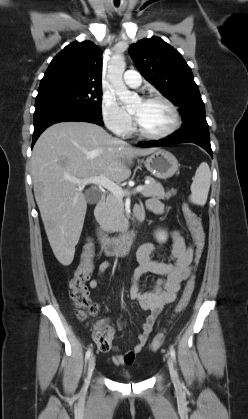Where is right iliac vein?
Instances as JSON below:
<instances>
[{
	"mask_svg": "<svg viewBox=\"0 0 248 419\" xmlns=\"http://www.w3.org/2000/svg\"><path fill=\"white\" fill-rule=\"evenodd\" d=\"M94 369H95V357L91 356L90 359H89V362H88L87 380H86L85 386L90 381V378L93 374Z\"/></svg>",
	"mask_w": 248,
	"mask_h": 419,
	"instance_id": "63e3f726",
	"label": "right iliac vein"
}]
</instances>
